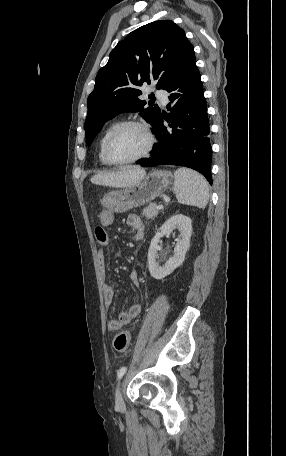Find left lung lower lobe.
I'll return each mask as SVG.
<instances>
[{"mask_svg":"<svg viewBox=\"0 0 286 456\" xmlns=\"http://www.w3.org/2000/svg\"><path fill=\"white\" fill-rule=\"evenodd\" d=\"M165 90L170 93L167 106L170 113L160 114L153 131L159 143L153 147L152 156L139 164L186 166L203 174L212 184L209 120L196 59ZM163 119L169 123L168 127Z\"/></svg>","mask_w":286,"mask_h":456,"instance_id":"0a47b994","label":"left lung lower lobe"}]
</instances>
